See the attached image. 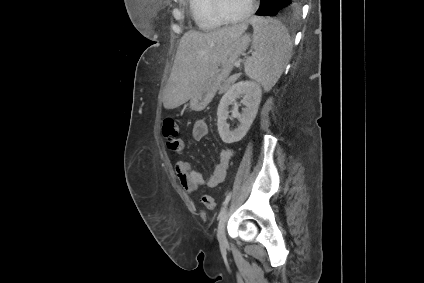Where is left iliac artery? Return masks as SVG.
<instances>
[{
    "label": "left iliac artery",
    "mask_w": 424,
    "mask_h": 283,
    "mask_svg": "<svg viewBox=\"0 0 424 283\" xmlns=\"http://www.w3.org/2000/svg\"><path fill=\"white\" fill-rule=\"evenodd\" d=\"M230 198H231V192H229L228 195L226 196V198L223 202V207H225L229 203Z\"/></svg>",
    "instance_id": "44dca946"
}]
</instances>
